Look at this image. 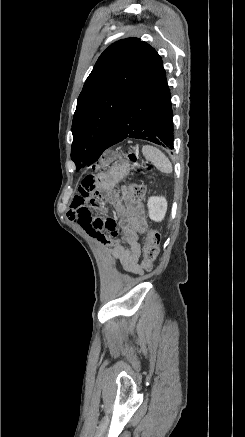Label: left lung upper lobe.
<instances>
[{
    "instance_id": "5c2ea615",
    "label": "left lung upper lobe",
    "mask_w": 245,
    "mask_h": 437,
    "mask_svg": "<svg viewBox=\"0 0 245 437\" xmlns=\"http://www.w3.org/2000/svg\"><path fill=\"white\" fill-rule=\"evenodd\" d=\"M158 53L138 38L111 44L98 58L77 100L71 159L79 170L101 156L126 102Z\"/></svg>"
}]
</instances>
